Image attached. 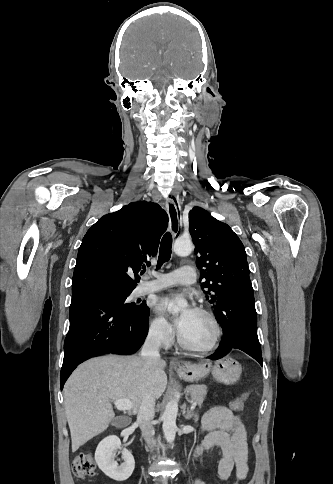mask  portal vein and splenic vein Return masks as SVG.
Instances as JSON below:
<instances>
[{"mask_svg": "<svg viewBox=\"0 0 333 484\" xmlns=\"http://www.w3.org/2000/svg\"><path fill=\"white\" fill-rule=\"evenodd\" d=\"M114 404L116 405L117 409L120 410V411H131L133 409V405H132V402L129 400V399H118V400H115L114 401ZM196 407V403H194L192 406H191V409H195Z\"/></svg>", "mask_w": 333, "mask_h": 484, "instance_id": "portal-vein-and-splenic-vein-1", "label": "portal vein and splenic vein"}]
</instances>
